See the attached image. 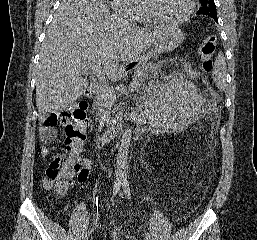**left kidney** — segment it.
<instances>
[{
    "label": "left kidney",
    "instance_id": "obj_1",
    "mask_svg": "<svg viewBox=\"0 0 257 240\" xmlns=\"http://www.w3.org/2000/svg\"><path fill=\"white\" fill-rule=\"evenodd\" d=\"M151 105L154 120L170 132L183 130L201 116V98L195 86L182 78L158 86Z\"/></svg>",
    "mask_w": 257,
    "mask_h": 240
}]
</instances>
